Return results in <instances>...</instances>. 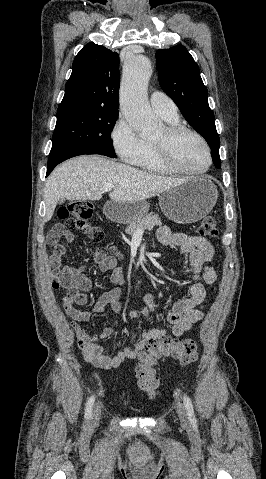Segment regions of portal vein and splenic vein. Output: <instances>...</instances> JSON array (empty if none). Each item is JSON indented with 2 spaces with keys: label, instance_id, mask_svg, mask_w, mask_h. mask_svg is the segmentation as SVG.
<instances>
[{
  "label": "portal vein and splenic vein",
  "instance_id": "obj_1",
  "mask_svg": "<svg viewBox=\"0 0 266 479\" xmlns=\"http://www.w3.org/2000/svg\"><path fill=\"white\" fill-rule=\"evenodd\" d=\"M112 189H113V185L107 184V185H104L100 190L103 192H108V191H111ZM137 231L141 232L142 230L138 229Z\"/></svg>",
  "mask_w": 266,
  "mask_h": 479
}]
</instances>
